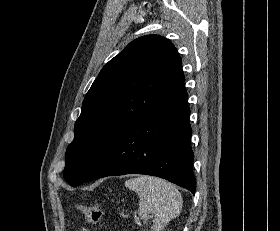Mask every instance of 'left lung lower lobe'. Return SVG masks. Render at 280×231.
Returning a JSON list of instances; mask_svg holds the SVG:
<instances>
[{
	"mask_svg": "<svg viewBox=\"0 0 280 231\" xmlns=\"http://www.w3.org/2000/svg\"><path fill=\"white\" fill-rule=\"evenodd\" d=\"M190 109L184 82L112 143L85 182L107 176L146 174L196 189L191 149Z\"/></svg>",
	"mask_w": 280,
	"mask_h": 231,
	"instance_id": "1",
	"label": "left lung lower lobe"
}]
</instances>
